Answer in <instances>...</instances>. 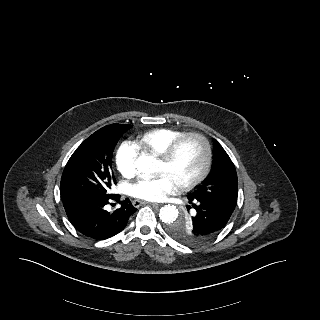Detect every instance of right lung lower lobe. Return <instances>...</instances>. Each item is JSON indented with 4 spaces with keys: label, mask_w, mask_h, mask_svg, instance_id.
Instances as JSON below:
<instances>
[{
    "label": "right lung lower lobe",
    "mask_w": 320,
    "mask_h": 320,
    "mask_svg": "<svg viewBox=\"0 0 320 320\" xmlns=\"http://www.w3.org/2000/svg\"><path fill=\"white\" fill-rule=\"evenodd\" d=\"M111 200L119 201L120 196L109 197H64L63 206L72 225L82 235L94 239L105 240L121 232L131 215L137 209L130 200L121 202V208L108 212L104 208Z\"/></svg>",
    "instance_id": "98d812e1"
}]
</instances>
